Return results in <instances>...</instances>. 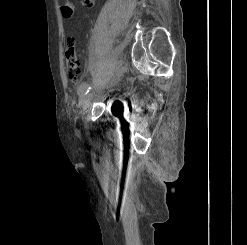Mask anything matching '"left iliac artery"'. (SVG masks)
I'll return each instance as SVG.
<instances>
[{"instance_id": "obj_1", "label": "left iliac artery", "mask_w": 247, "mask_h": 245, "mask_svg": "<svg viewBox=\"0 0 247 245\" xmlns=\"http://www.w3.org/2000/svg\"><path fill=\"white\" fill-rule=\"evenodd\" d=\"M90 89H91V87L88 83H82L78 89L79 96H83V95L88 94Z\"/></svg>"}]
</instances>
